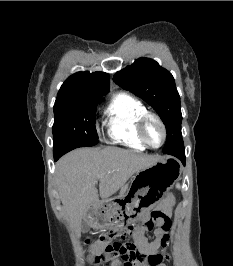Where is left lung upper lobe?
Here are the masks:
<instances>
[{"instance_id": "left-lung-upper-lobe-1", "label": "left lung upper lobe", "mask_w": 233, "mask_h": 266, "mask_svg": "<svg viewBox=\"0 0 233 266\" xmlns=\"http://www.w3.org/2000/svg\"><path fill=\"white\" fill-rule=\"evenodd\" d=\"M113 80L143 99L159 114L167 130L164 153L182 141L180 96L169 71L152 59L139 58L132 66L117 72Z\"/></svg>"}]
</instances>
